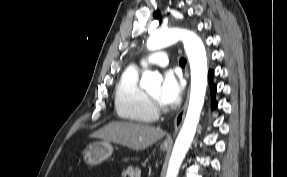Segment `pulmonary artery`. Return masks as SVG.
<instances>
[{
    "label": "pulmonary artery",
    "instance_id": "e3ab8cb5",
    "mask_svg": "<svg viewBox=\"0 0 287 177\" xmlns=\"http://www.w3.org/2000/svg\"><path fill=\"white\" fill-rule=\"evenodd\" d=\"M169 55L165 50H159L154 52L149 58L143 59L141 61L142 66H147L150 64H154L160 67H164L168 64Z\"/></svg>",
    "mask_w": 287,
    "mask_h": 177
}]
</instances>
